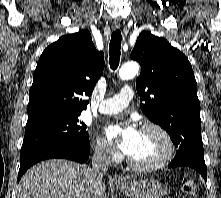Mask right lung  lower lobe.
<instances>
[{
  "mask_svg": "<svg viewBox=\"0 0 221 198\" xmlns=\"http://www.w3.org/2000/svg\"><path fill=\"white\" fill-rule=\"evenodd\" d=\"M89 153L90 148L68 143H53L36 148L20 157L18 182L26 170L39 161L52 158H64L84 163L88 160Z\"/></svg>",
  "mask_w": 221,
  "mask_h": 198,
  "instance_id": "obj_1",
  "label": "right lung lower lobe"
}]
</instances>
